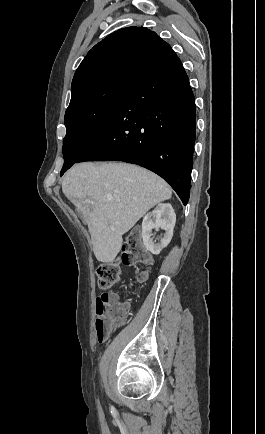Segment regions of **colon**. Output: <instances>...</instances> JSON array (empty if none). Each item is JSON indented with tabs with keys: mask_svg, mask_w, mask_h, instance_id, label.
<instances>
[{
	"mask_svg": "<svg viewBox=\"0 0 265 434\" xmlns=\"http://www.w3.org/2000/svg\"><path fill=\"white\" fill-rule=\"evenodd\" d=\"M120 261L124 265H135L142 263H149V259L144 255L139 243V236L137 231H133V234L129 242L124 246V251L121 253ZM121 267L117 262L103 263L97 267V283L100 289L110 290L118 283ZM147 276L146 272H141L137 275L138 280L144 281ZM110 297L108 295L99 293L95 295V300L98 301L95 304L96 311V325L95 332L97 334L96 344L98 347H105L107 341L110 339V328L118 327L120 322H124L126 319L125 314L118 305L114 306L109 315L107 311V303Z\"/></svg>",
	"mask_w": 265,
	"mask_h": 434,
	"instance_id": "colon-1",
	"label": "colon"
}]
</instances>
